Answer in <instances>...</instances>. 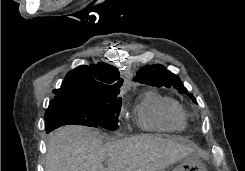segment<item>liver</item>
Returning a JSON list of instances; mask_svg holds the SVG:
<instances>
[{
  "label": "liver",
  "mask_w": 245,
  "mask_h": 171,
  "mask_svg": "<svg viewBox=\"0 0 245 171\" xmlns=\"http://www.w3.org/2000/svg\"><path fill=\"white\" fill-rule=\"evenodd\" d=\"M99 131L64 126L50 134L45 171H160L197 151L195 146L154 136L102 143ZM108 158V168L103 161Z\"/></svg>",
  "instance_id": "liver-1"
}]
</instances>
